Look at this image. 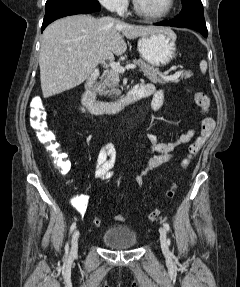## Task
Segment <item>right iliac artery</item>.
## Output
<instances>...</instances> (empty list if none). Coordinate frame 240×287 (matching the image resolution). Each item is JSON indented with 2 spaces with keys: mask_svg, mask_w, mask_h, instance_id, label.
<instances>
[{
  "mask_svg": "<svg viewBox=\"0 0 240 287\" xmlns=\"http://www.w3.org/2000/svg\"><path fill=\"white\" fill-rule=\"evenodd\" d=\"M75 227H76V224L73 223V224L71 225V227H70V234L74 231ZM68 249H69V244L67 243V245H66V251H68Z\"/></svg>",
  "mask_w": 240,
  "mask_h": 287,
  "instance_id": "right-iliac-artery-1",
  "label": "right iliac artery"
}]
</instances>
